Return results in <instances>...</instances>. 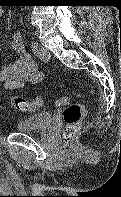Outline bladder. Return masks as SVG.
Masks as SVG:
<instances>
[{
	"label": "bladder",
	"mask_w": 121,
	"mask_h": 197,
	"mask_svg": "<svg viewBox=\"0 0 121 197\" xmlns=\"http://www.w3.org/2000/svg\"><path fill=\"white\" fill-rule=\"evenodd\" d=\"M52 114L43 111L35 115H31L16 125V131L24 133H43L52 125Z\"/></svg>",
	"instance_id": "1"
}]
</instances>
